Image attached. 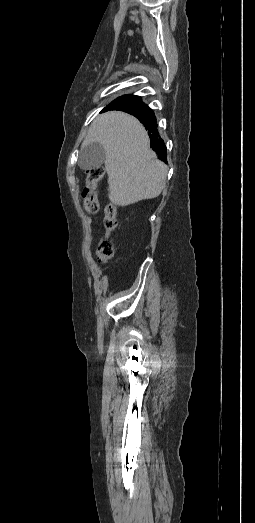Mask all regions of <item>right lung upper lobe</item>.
I'll list each match as a JSON object with an SVG mask.
<instances>
[{
    "label": "right lung upper lobe",
    "mask_w": 255,
    "mask_h": 523,
    "mask_svg": "<svg viewBox=\"0 0 255 523\" xmlns=\"http://www.w3.org/2000/svg\"><path fill=\"white\" fill-rule=\"evenodd\" d=\"M121 110L131 115H134L144 124L145 129L148 130L151 147L156 152L158 158L167 163L166 146L164 141L160 138L157 132L156 118L154 112L142 102L130 103L122 101H113L102 111Z\"/></svg>",
    "instance_id": "cb5924a9"
}]
</instances>
